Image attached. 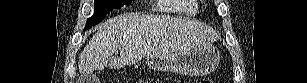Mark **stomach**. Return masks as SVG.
<instances>
[{"label": "stomach", "mask_w": 307, "mask_h": 83, "mask_svg": "<svg viewBox=\"0 0 307 83\" xmlns=\"http://www.w3.org/2000/svg\"><path fill=\"white\" fill-rule=\"evenodd\" d=\"M220 53L212 44H200L171 55H151L147 66L156 71L174 72L186 76H204L213 72Z\"/></svg>", "instance_id": "0dacf381"}]
</instances>
